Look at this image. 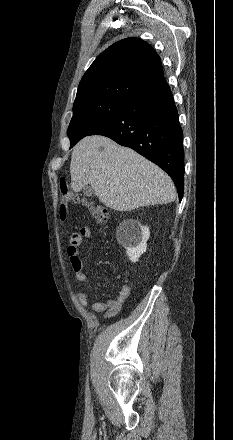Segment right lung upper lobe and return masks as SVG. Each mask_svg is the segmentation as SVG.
I'll use <instances>...</instances> for the list:
<instances>
[{"instance_id":"1","label":"right lung upper lobe","mask_w":233,"mask_h":440,"mask_svg":"<svg viewBox=\"0 0 233 440\" xmlns=\"http://www.w3.org/2000/svg\"><path fill=\"white\" fill-rule=\"evenodd\" d=\"M165 83L160 57L145 41L126 38L92 63L78 86L75 102L93 98L129 101Z\"/></svg>"}]
</instances>
